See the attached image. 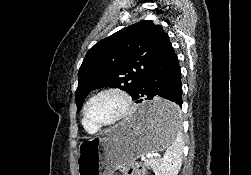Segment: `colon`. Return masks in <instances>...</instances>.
<instances>
[{
	"mask_svg": "<svg viewBox=\"0 0 251 175\" xmlns=\"http://www.w3.org/2000/svg\"><path fill=\"white\" fill-rule=\"evenodd\" d=\"M121 172L123 175H148L144 164L137 160L129 161L123 164Z\"/></svg>",
	"mask_w": 251,
	"mask_h": 175,
	"instance_id": "5ec220e1",
	"label": "colon"
}]
</instances>
